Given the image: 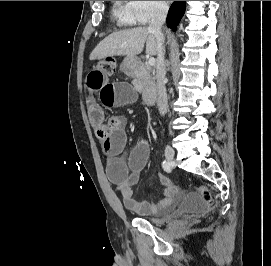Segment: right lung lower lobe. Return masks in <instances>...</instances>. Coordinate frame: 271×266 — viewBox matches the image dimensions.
Wrapping results in <instances>:
<instances>
[{
    "label": "right lung lower lobe",
    "mask_w": 271,
    "mask_h": 266,
    "mask_svg": "<svg viewBox=\"0 0 271 266\" xmlns=\"http://www.w3.org/2000/svg\"><path fill=\"white\" fill-rule=\"evenodd\" d=\"M185 11V1H179L172 3L168 16H167V26L173 30H176Z\"/></svg>",
    "instance_id": "right-lung-lower-lobe-1"
}]
</instances>
